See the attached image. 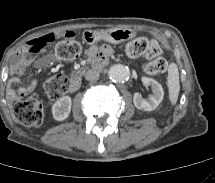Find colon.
<instances>
[{
    "label": "colon",
    "mask_w": 215,
    "mask_h": 183,
    "mask_svg": "<svg viewBox=\"0 0 215 183\" xmlns=\"http://www.w3.org/2000/svg\"><path fill=\"white\" fill-rule=\"evenodd\" d=\"M49 46L48 42L42 41L33 46V52H39ZM126 54L135 58L146 56L151 59L145 64V71L148 74L155 75L166 71L168 62L160 57L161 46L158 41L139 37L129 42L125 47ZM56 55L64 60H73L81 54V45L75 40L73 33H68L65 39L60 41L55 47ZM68 79L59 74L50 77L45 82V90L52 99H58L68 89ZM14 115L19 123L26 127H38L44 117V107L41 100L35 97H29L19 100L14 106Z\"/></svg>",
    "instance_id": "colon-1"
}]
</instances>
